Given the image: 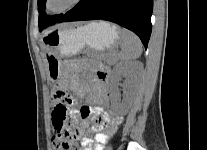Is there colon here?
Listing matches in <instances>:
<instances>
[{"label": "colon", "mask_w": 207, "mask_h": 150, "mask_svg": "<svg viewBox=\"0 0 207 150\" xmlns=\"http://www.w3.org/2000/svg\"><path fill=\"white\" fill-rule=\"evenodd\" d=\"M69 87H60L59 90L53 93L54 106L51 110L54 111L50 122H54L52 131L55 132L52 138L53 150H79L77 132H72L70 129V115L72 111V99L68 94Z\"/></svg>", "instance_id": "obj_1"}]
</instances>
